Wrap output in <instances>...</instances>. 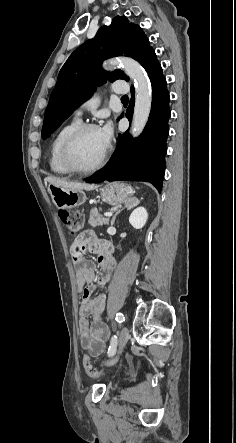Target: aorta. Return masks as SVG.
<instances>
[{
  "instance_id": "762f6f07",
  "label": "aorta",
  "mask_w": 236,
  "mask_h": 443,
  "mask_svg": "<svg viewBox=\"0 0 236 443\" xmlns=\"http://www.w3.org/2000/svg\"><path fill=\"white\" fill-rule=\"evenodd\" d=\"M110 65H120L135 83V106L132 122V135L141 134L149 118L152 103V88L143 67L127 57L109 60Z\"/></svg>"
}]
</instances>
